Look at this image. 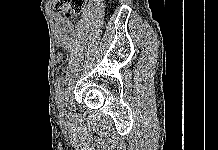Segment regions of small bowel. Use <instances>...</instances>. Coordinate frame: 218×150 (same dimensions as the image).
Instances as JSON below:
<instances>
[{"label": "small bowel", "instance_id": "small-bowel-1", "mask_svg": "<svg viewBox=\"0 0 218 150\" xmlns=\"http://www.w3.org/2000/svg\"><path fill=\"white\" fill-rule=\"evenodd\" d=\"M55 20L56 43L60 48H69L75 42V33L72 30L71 23L60 15H56Z\"/></svg>", "mask_w": 218, "mask_h": 150}]
</instances>
